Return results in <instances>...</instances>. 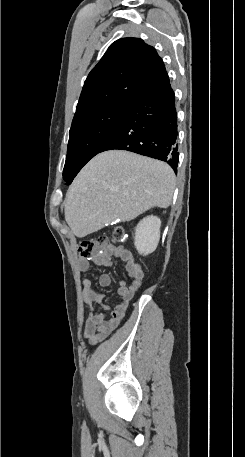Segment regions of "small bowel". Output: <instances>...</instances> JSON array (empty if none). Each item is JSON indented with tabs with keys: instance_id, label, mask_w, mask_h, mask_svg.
I'll return each mask as SVG.
<instances>
[{
	"instance_id": "c3829d8e",
	"label": "small bowel",
	"mask_w": 245,
	"mask_h": 457,
	"mask_svg": "<svg viewBox=\"0 0 245 457\" xmlns=\"http://www.w3.org/2000/svg\"><path fill=\"white\" fill-rule=\"evenodd\" d=\"M112 257L125 263V269L130 279L129 282L125 280L119 282L117 294L120 300L114 308L111 309L108 305L102 304L103 297L94 289L91 279L82 281L83 297L90 309L84 325L83 336L93 344L105 339L119 325L125 316L130 300L140 288L143 279L142 267L134 261L131 252L122 246L108 245L101 254L91 259H81L78 268L80 271H87L90 262L105 267L111 266ZM99 284L102 287H108L111 284V276L103 274L99 279ZM99 305L102 306V311H97Z\"/></svg>"
}]
</instances>
